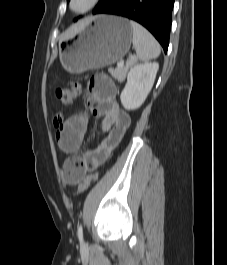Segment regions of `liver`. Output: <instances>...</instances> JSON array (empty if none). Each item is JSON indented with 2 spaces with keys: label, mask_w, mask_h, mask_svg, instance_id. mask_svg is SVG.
I'll list each match as a JSON object with an SVG mask.
<instances>
[{
  "label": "liver",
  "mask_w": 227,
  "mask_h": 265,
  "mask_svg": "<svg viewBox=\"0 0 227 265\" xmlns=\"http://www.w3.org/2000/svg\"><path fill=\"white\" fill-rule=\"evenodd\" d=\"M84 27L83 23H80L78 25H75L73 27H71L70 29H68L67 31H65L61 36H60V41H64L70 38H73L76 33H78L79 31H81Z\"/></svg>",
  "instance_id": "liver-1"
}]
</instances>
